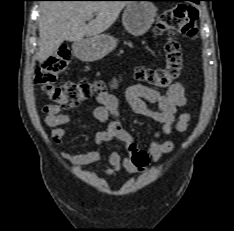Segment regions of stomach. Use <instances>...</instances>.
I'll return each mask as SVG.
<instances>
[{"label": "stomach", "mask_w": 234, "mask_h": 231, "mask_svg": "<svg viewBox=\"0 0 234 231\" xmlns=\"http://www.w3.org/2000/svg\"><path fill=\"white\" fill-rule=\"evenodd\" d=\"M157 9L153 3L134 0L126 5L122 15L124 28L134 36L144 35L154 23ZM117 39L100 34L73 44L75 55L86 62L98 61L115 49Z\"/></svg>", "instance_id": "obj_1"}]
</instances>
